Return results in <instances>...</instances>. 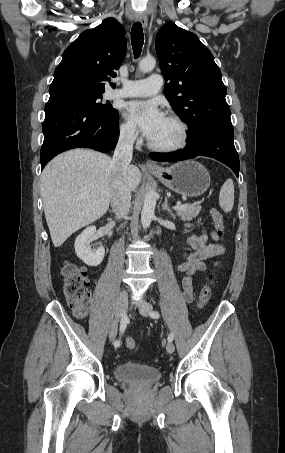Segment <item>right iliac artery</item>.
I'll return each mask as SVG.
<instances>
[{"instance_id": "right-iliac-artery-1", "label": "right iliac artery", "mask_w": 285, "mask_h": 453, "mask_svg": "<svg viewBox=\"0 0 285 453\" xmlns=\"http://www.w3.org/2000/svg\"><path fill=\"white\" fill-rule=\"evenodd\" d=\"M127 322H128L127 317L124 315V316L122 317L121 323H120V333H121V334L125 331L126 326H127ZM114 346H115L116 348L119 347V346H120V341H119V340H116V341L114 342Z\"/></svg>"}]
</instances>
